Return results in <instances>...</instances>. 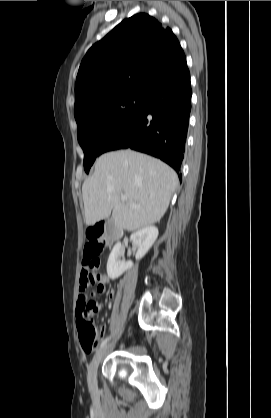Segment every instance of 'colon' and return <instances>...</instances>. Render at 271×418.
Here are the masks:
<instances>
[{
	"label": "colon",
	"instance_id": "colon-1",
	"mask_svg": "<svg viewBox=\"0 0 271 418\" xmlns=\"http://www.w3.org/2000/svg\"><path fill=\"white\" fill-rule=\"evenodd\" d=\"M109 229L105 222H98L86 230V244L84 247V257L89 261L91 272L88 281L91 283L94 280L95 274L99 266L97 256L101 253L107 243ZM87 298L86 292H82L81 297ZM84 305V303H82ZM94 314H81L78 319L77 327L80 337L81 346L84 351H92L100 337V332L93 322Z\"/></svg>",
	"mask_w": 271,
	"mask_h": 418
}]
</instances>
